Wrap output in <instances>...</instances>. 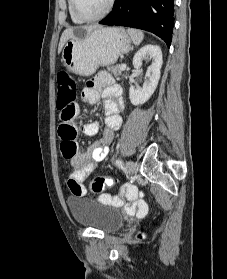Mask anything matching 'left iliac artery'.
<instances>
[{
	"mask_svg": "<svg viewBox=\"0 0 227 279\" xmlns=\"http://www.w3.org/2000/svg\"><path fill=\"white\" fill-rule=\"evenodd\" d=\"M116 165H117V167L122 168V167H123V162H122V160H121V159H117V160H116Z\"/></svg>",
	"mask_w": 227,
	"mask_h": 279,
	"instance_id": "left-iliac-artery-1",
	"label": "left iliac artery"
}]
</instances>
